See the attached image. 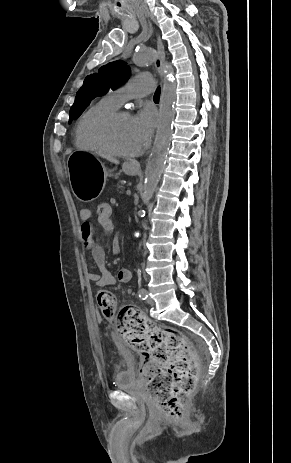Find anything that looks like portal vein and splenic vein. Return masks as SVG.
Instances as JSON below:
<instances>
[{
  "label": "portal vein and splenic vein",
  "mask_w": 291,
  "mask_h": 463,
  "mask_svg": "<svg viewBox=\"0 0 291 463\" xmlns=\"http://www.w3.org/2000/svg\"><path fill=\"white\" fill-rule=\"evenodd\" d=\"M126 194H127V195H130V194H131V190H130V189H127V190H126Z\"/></svg>",
  "instance_id": "portal-vein-and-splenic-vein-1"
}]
</instances>
